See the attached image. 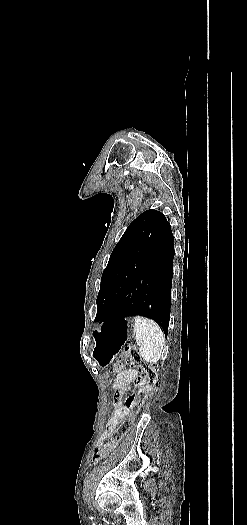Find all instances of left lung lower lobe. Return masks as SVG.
I'll list each match as a JSON object with an SVG mask.
<instances>
[{
    "instance_id": "0a47b994",
    "label": "left lung lower lobe",
    "mask_w": 247,
    "mask_h": 525,
    "mask_svg": "<svg viewBox=\"0 0 247 525\" xmlns=\"http://www.w3.org/2000/svg\"><path fill=\"white\" fill-rule=\"evenodd\" d=\"M173 240L169 227L150 256L146 268L103 318L105 323L141 315L159 323L167 336L173 276Z\"/></svg>"
}]
</instances>
